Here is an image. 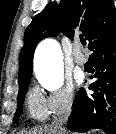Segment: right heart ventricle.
<instances>
[{
    "mask_svg": "<svg viewBox=\"0 0 116 134\" xmlns=\"http://www.w3.org/2000/svg\"><path fill=\"white\" fill-rule=\"evenodd\" d=\"M27 108L29 116L33 119L43 120L47 116L42 99L34 90L28 96Z\"/></svg>",
    "mask_w": 116,
    "mask_h": 134,
    "instance_id": "1",
    "label": "right heart ventricle"
}]
</instances>
